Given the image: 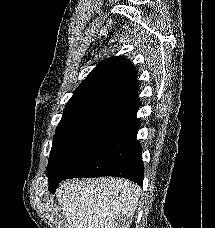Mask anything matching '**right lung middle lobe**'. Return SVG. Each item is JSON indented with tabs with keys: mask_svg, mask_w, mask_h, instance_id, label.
Wrapping results in <instances>:
<instances>
[{
	"mask_svg": "<svg viewBox=\"0 0 215 228\" xmlns=\"http://www.w3.org/2000/svg\"><path fill=\"white\" fill-rule=\"evenodd\" d=\"M129 127L111 120H92L55 133L47 175L51 192L76 165Z\"/></svg>",
	"mask_w": 215,
	"mask_h": 228,
	"instance_id": "1",
	"label": "right lung middle lobe"
}]
</instances>
